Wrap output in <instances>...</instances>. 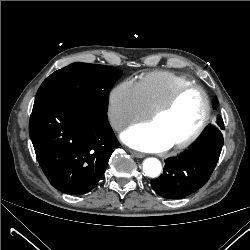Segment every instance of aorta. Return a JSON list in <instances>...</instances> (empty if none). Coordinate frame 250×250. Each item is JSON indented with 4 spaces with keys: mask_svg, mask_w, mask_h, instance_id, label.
Returning a JSON list of instances; mask_svg holds the SVG:
<instances>
[{
    "mask_svg": "<svg viewBox=\"0 0 250 250\" xmlns=\"http://www.w3.org/2000/svg\"><path fill=\"white\" fill-rule=\"evenodd\" d=\"M161 168V163L156 158H147L143 162V171L148 177H157L161 172Z\"/></svg>",
    "mask_w": 250,
    "mask_h": 250,
    "instance_id": "1",
    "label": "aorta"
}]
</instances>
